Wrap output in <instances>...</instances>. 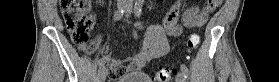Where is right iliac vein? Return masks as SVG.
Segmentation results:
<instances>
[{
    "label": "right iliac vein",
    "mask_w": 279,
    "mask_h": 82,
    "mask_svg": "<svg viewBox=\"0 0 279 82\" xmlns=\"http://www.w3.org/2000/svg\"><path fill=\"white\" fill-rule=\"evenodd\" d=\"M124 5H125V2H124V0H122L118 3V8L121 9L122 7H124ZM106 75H107V72H106L105 67H101L98 71L99 82H104L106 79Z\"/></svg>",
    "instance_id": "63e3f726"
}]
</instances>
